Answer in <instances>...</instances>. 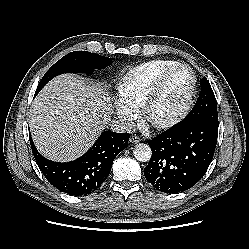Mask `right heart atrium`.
<instances>
[{
  "instance_id": "1",
  "label": "right heart atrium",
  "mask_w": 249,
  "mask_h": 249,
  "mask_svg": "<svg viewBox=\"0 0 249 249\" xmlns=\"http://www.w3.org/2000/svg\"><path fill=\"white\" fill-rule=\"evenodd\" d=\"M115 110L122 122L129 126L136 118L135 110L129 108L121 102H115Z\"/></svg>"
}]
</instances>
